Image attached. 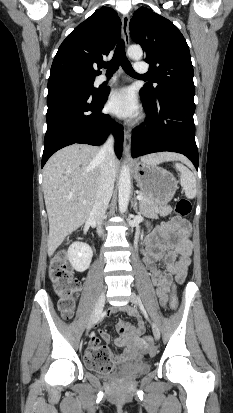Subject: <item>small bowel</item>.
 Listing matches in <instances>:
<instances>
[{
  "label": "small bowel",
  "mask_w": 233,
  "mask_h": 413,
  "mask_svg": "<svg viewBox=\"0 0 233 413\" xmlns=\"http://www.w3.org/2000/svg\"><path fill=\"white\" fill-rule=\"evenodd\" d=\"M189 234L188 222L182 218H174L157 226L145 238L144 263L150 272L162 306H165L168 301V293L173 282L182 283L186 278L192 250ZM118 310L134 318L136 324L123 322L117 324L118 331L124 335L117 344L124 347L125 352L121 355L112 354L113 359L119 363L140 359L147 349L141 338L145 330L144 321L138 311L130 306L111 308L108 313H115ZM98 334L93 333L90 336L85 359L104 348L100 346V338L106 342L110 340V335L106 331L100 330Z\"/></svg>",
  "instance_id": "obj_1"
}]
</instances>
